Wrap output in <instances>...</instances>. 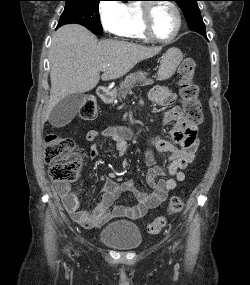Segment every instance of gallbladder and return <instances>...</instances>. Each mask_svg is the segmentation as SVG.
Segmentation results:
<instances>
[{"label": "gallbladder", "instance_id": "bac80fb5", "mask_svg": "<svg viewBox=\"0 0 250 285\" xmlns=\"http://www.w3.org/2000/svg\"><path fill=\"white\" fill-rule=\"evenodd\" d=\"M84 102L85 95L82 93H75L63 98L52 109L48 119L50 124L57 128L69 124Z\"/></svg>", "mask_w": 250, "mask_h": 285}]
</instances>
